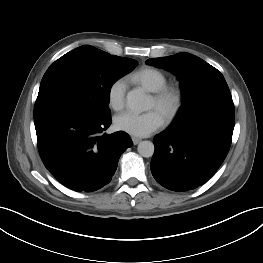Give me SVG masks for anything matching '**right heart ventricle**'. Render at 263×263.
Segmentation results:
<instances>
[{
    "label": "right heart ventricle",
    "instance_id": "obj_1",
    "mask_svg": "<svg viewBox=\"0 0 263 263\" xmlns=\"http://www.w3.org/2000/svg\"><path fill=\"white\" fill-rule=\"evenodd\" d=\"M128 79L149 92H155L167 84L166 75L159 69L150 66L138 69Z\"/></svg>",
    "mask_w": 263,
    "mask_h": 263
}]
</instances>
